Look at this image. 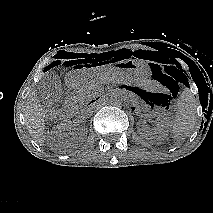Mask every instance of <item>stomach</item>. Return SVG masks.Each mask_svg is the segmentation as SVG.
I'll list each match as a JSON object with an SVG mask.
<instances>
[{
    "label": "stomach",
    "mask_w": 213,
    "mask_h": 213,
    "mask_svg": "<svg viewBox=\"0 0 213 213\" xmlns=\"http://www.w3.org/2000/svg\"><path fill=\"white\" fill-rule=\"evenodd\" d=\"M151 76V70L146 62L140 60H126L115 63L112 66H96L91 70L74 71L68 75L67 80L76 86L87 83L121 77L124 80L141 83L147 81Z\"/></svg>",
    "instance_id": "stomach-1"
}]
</instances>
